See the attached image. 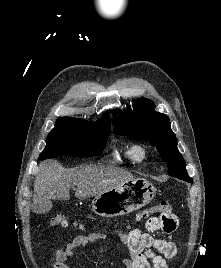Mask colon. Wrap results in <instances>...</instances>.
I'll list each match as a JSON object with an SVG mask.
<instances>
[{
    "label": "colon",
    "instance_id": "obj_1",
    "mask_svg": "<svg viewBox=\"0 0 221 268\" xmlns=\"http://www.w3.org/2000/svg\"><path fill=\"white\" fill-rule=\"evenodd\" d=\"M172 211V206L168 200H162L157 205L152 206L150 208L144 209L140 211L134 218L135 222L142 221L146 219L152 213H158L159 215H170ZM50 224L52 226H61L66 227L68 225V220L65 214L56 213L53 215Z\"/></svg>",
    "mask_w": 221,
    "mask_h": 268
}]
</instances>
